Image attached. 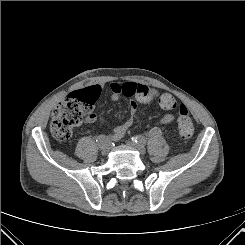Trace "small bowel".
<instances>
[{
	"label": "small bowel",
	"mask_w": 245,
	"mask_h": 245,
	"mask_svg": "<svg viewBox=\"0 0 245 245\" xmlns=\"http://www.w3.org/2000/svg\"><path fill=\"white\" fill-rule=\"evenodd\" d=\"M139 87H147L141 84L132 83V82H125V83H118L112 82L110 84V91H111V98L113 100H118L121 96L129 97V112L126 116L124 122L117 126L110 134L109 139L112 141H117L122 138L125 131L128 127L133 123L135 116L138 110V99H137V89ZM148 88V87H147ZM150 89V88H149ZM153 96H156V91L150 89ZM159 106L161 109L166 111H173L177 107V100L175 97L169 94H163L159 97ZM176 116L172 112H167L163 116H161L158 121L156 122L157 125H167L174 122ZM97 120V115L94 112H90L87 114L85 121L87 123H93Z\"/></svg>",
	"instance_id": "obj_1"
}]
</instances>
